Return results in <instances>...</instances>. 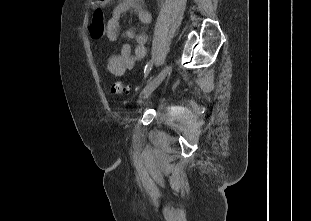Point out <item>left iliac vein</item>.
I'll return each instance as SVG.
<instances>
[{"instance_id": "left-iliac-vein-1", "label": "left iliac vein", "mask_w": 311, "mask_h": 221, "mask_svg": "<svg viewBox=\"0 0 311 221\" xmlns=\"http://www.w3.org/2000/svg\"><path fill=\"white\" fill-rule=\"evenodd\" d=\"M170 69L171 65L165 66L161 72L144 87L138 99L139 104L143 103V101L146 100L150 94L162 83L165 77L169 74Z\"/></svg>"}]
</instances>
